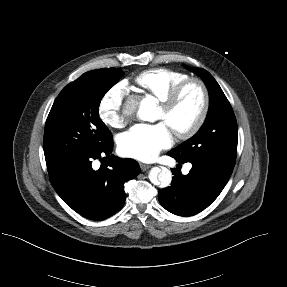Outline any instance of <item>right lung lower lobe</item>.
Listing matches in <instances>:
<instances>
[{"label": "right lung lower lobe", "mask_w": 287, "mask_h": 287, "mask_svg": "<svg viewBox=\"0 0 287 287\" xmlns=\"http://www.w3.org/2000/svg\"><path fill=\"white\" fill-rule=\"evenodd\" d=\"M112 139L102 148L47 165L51 184L77 213L90 220H104L124 204V183L140 173L137 161L111 154ZM106 155L105 165L93 170L92 161Z\"/></svg>", "instance_id": "98d812e1"}]
</instances>
